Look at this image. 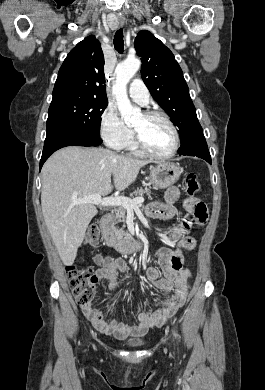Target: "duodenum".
Masks as SVG:
<instances>
[{
	"mask_svg": "<svg viewBox=\"0 0 265 390\" xmlns=\"http://www.w3.org/2000/svg\"><path fill=\"white\" fill-rule=\"evenodd\" d=\"M112 222H113V214L111 213L105 214L100 221V227L102 230V237L105 246L109 248H114L119 252L137 251L141 248L142 242L139 239L126 243L125 241L117 238L114 234H112L111 233Z\"/></svg>",
	"mask_w": 265,
	"mask_h": 390,
	"instance_id": "duodenum-1",
	"label": "duodenum"
}]
</instances>
